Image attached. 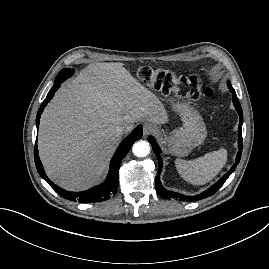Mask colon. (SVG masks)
<instances>
[{"label": "colon", "instance_id": "1", "mask_svg": "<svg viewBox=\"0 0 269 269\" xmlns=\"http://www.w3.org/2000/svg\"><path fill=\"white\" fill-rule=\"evenodd\" d=\"M138 76L145 84L157 90L176 92L182 97L197 99L202 95L206 97L213 95V89L211 87L203 88L201 80L196 76L178 78L170 71L150 67L140 68ZM219 110L220 106L214 104V113H218Z\"/></svg>", "mask_w": 269, "mask_h": 269}]
</instances>
